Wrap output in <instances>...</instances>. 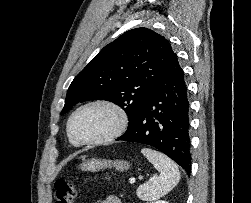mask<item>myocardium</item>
I'll return each mask as SVG.
<instances>
[{
  "label": "myocardium",
  "instance_id": "myocardium-1",
  "mask_svg": "<svg viewBox=\"0 0 251 203\" xmlns=\"http://www.w3.org/2000/svg\"><path fill=\"white\" fill-rule=\"evenodd\" d=\"M96 106L107 108L115 114V116H116L115 126L113 127V129L109 133H107L106 135L101 136L99 138L89 139V140L78 138L74 134L73 128H72V124H73V120H74L75 116L80 111H82L84 109H87L90 107H96ZM128 122H129L128 115H127L126 111L120 105H118L117 103L110 101V100L96 99V100H92V101H89V102H86V103L80 105L72 112V114L69 117L68 123H67V132H68L69 137L76 144L98 145V144H104V143L111 142V141L117 139L118 137H120L127 129Z\"/></svg>",
  "mask_w": 251,
  "mask_h": 203
}]
</instances>
